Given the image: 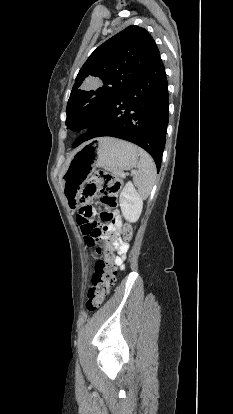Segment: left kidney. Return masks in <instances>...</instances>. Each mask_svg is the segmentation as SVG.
<instances>
[{
  "mask_svg": "<svg viewBox=\"0 0 233 414\" xmlns=\"http://www.w3.org/2000/svg\"><path fill=\"white\" fill-rule=\"evenodd\" d=\"M120 208L123 217L129 222H136L142 212L143 198L139 195L132 182L126 183L120 193Z\"/></svg>",
  "mask_w": 233,
  "mask_h": 414,
  "instance_id": "obj_1",
  "label": "left kidney"
}]
</instances>
